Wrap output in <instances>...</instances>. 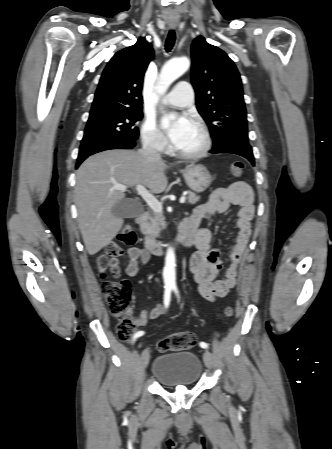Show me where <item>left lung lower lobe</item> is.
I'll return each mask as SVG.
<instances>
[{
    "instance_id": "0a47b994",
    "label": "left lung lower lobe",
    "mask_w": 332,
    "mask_h": 449,
    "mask_svg": "<svg viewBox=\"0 0 332 449\" xmlns=\"http://www.w3.org/2000/svg\"><path fill=\"white\" fill-rule=\"evenodd\" d=\"M211 153H233L247 158L252 165H255L252 148L245 141H230L212 149Z\"/></svg>"
}]
</instances>
